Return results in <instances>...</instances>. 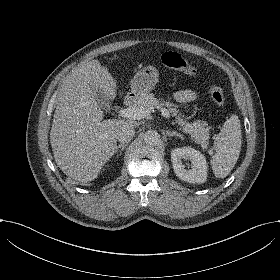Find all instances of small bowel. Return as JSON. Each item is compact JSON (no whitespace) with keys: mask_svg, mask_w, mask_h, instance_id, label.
Wrapping results in <instances>:
<instances>
[{"mask_svg":"<svg viewBox=\"0 0 280 280\" xmlns=\"http://www.w3.org/2000/svg\"><path fill=\"white\" fill-rule=\"evenodd\" d=\"M174 99L177 102L182 103L186 107H188V104L195 101L197 99V95L194 91L189 89L179 90L174 93Z\"/></svg>","mask_w":280,"mask_h":280,"instance_id":"obj_1","label":"small bowel"}]
</instances>
